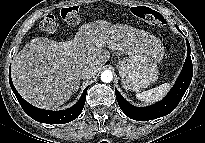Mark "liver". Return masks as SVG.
Returning <instances> with one entry per match:
<instances>
[{
    "instance_id": "6515ba94",
    "label": "liver",
    "mask_w": 205,
    "mask_h": 143,
    "mask_svg": "<svg viewBox=\"0 0 205 143\" xmlns=\"http://www.w3.org/2000/svg\"><path fill=\"white\" fill-rule=\"evenodd\" d=\"M96 43L103 46L97 47ZM105 47L126 55L163 54L161 42L149 32L96 20L82 25L69 41L37 37L27 43L12 62L14 86L32 105L57 108L78 90L84 66H94L97 73L109 60L110 53Z\"/></svg>"
}]
</instances>
